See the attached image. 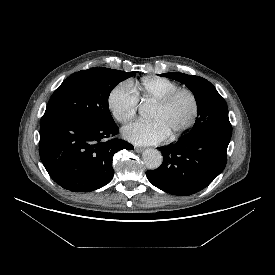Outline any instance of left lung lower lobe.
<instances>
[{"mask_svg": "<svg viewBox=\"0 0 275 275\" xmlns=\"http://www.w3.org/2000/svg\"><path fill=\"white\" fill-rule=\"evenodd\" d=\"M230 139L184 137L159 147L163 163L147 171L148 180L166 193L187 196L207 187L225 168Z\"/></svg>", "mask_w": 275, "mask_h": 275, "instance_id": "1", "label": "left lung lower lobe"}]
</instances>
